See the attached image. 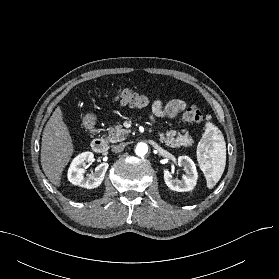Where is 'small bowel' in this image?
Listing matches in <instances>:
<instances>
[{"mask_svg": "<svg viewBox=\"0 0 279 279\" xmlns=\"http://www.w3.org/2000/svg\"><path fill=\"white\" fill-rule=\"evenodd\" d=\"M187 104L181 99H173L164 104L161 100H156L152 105L151 116L155 118H175L180 112L185 110Z\"/></svg>", "mask_w": 279, "mask_h": 279, "instance_id": "1", "label": "small bowel"}]
</instances>
